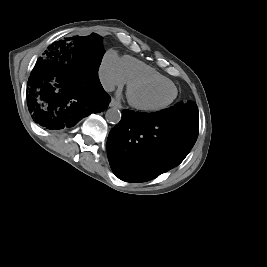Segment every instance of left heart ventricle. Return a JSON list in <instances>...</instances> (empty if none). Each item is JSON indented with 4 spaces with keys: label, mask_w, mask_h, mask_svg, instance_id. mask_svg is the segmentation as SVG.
<instances>
[{
    "label": "left heart ventricle",
    "mask_w": 267,
    "mask_h": 267,
    "mask_svg": "<svg viewBox=\"0 0 267 267\" xmlns=\"http://www.w3.org/2000/svg\"><path fill=\"white\" fill-rule=\"evenodd\" d=\"M174 93V88L171 85L152 84L135 88L132 95L141 104L159 106L170 101Z\"/></svg>",
    "instance_id": "obj_1"
}]
</instances>
